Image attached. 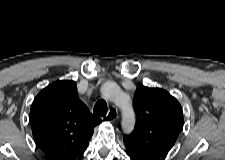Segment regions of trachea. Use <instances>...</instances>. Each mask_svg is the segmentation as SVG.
Listing matches in <instances>:
<instances>
[{
  "instance_id": "obj_1",
  "label": "trachea",
  "mask_w": 225,
  "mask_h": 160,
  "mask_svg": "<svg viewBox=\"0 0 225 160\" xmlns=\"http://www.w3.org/2000/svg\"><path fill=\"white\" fill-rule=\"evenodd\" d=\"M107 110L108 109L106 101L101 99L95 104L93 113L98 116H105L107 114Z\"/></svg>"
}]
</instances>
